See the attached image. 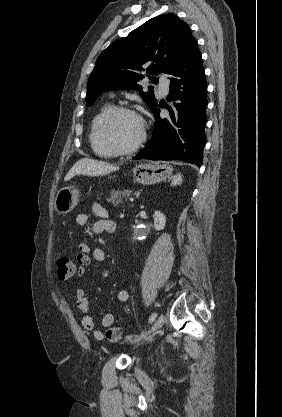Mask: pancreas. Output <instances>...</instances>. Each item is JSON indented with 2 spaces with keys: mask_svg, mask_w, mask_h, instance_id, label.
I'll list each match as a JSON object with an SVG mask.
<instances>
[{
  "mask_svg": "<svg viewBox=\"0 0 282 417\" xmlns=\"http://www.w3.org/2000/svg\"><path fill=\"white\" fill-rule=\"evenodd\" d=\"M132 194V190H110V196L106 198L108 202H112L114 206L118 204V206H123L124 198L128 200Z\"/></svg>",
  "mask_w": 282,
  "mask_h": 417,
  "instance_id": "cf45deb5",
  "label": "pancreas"
}]
</instances>
